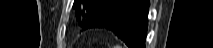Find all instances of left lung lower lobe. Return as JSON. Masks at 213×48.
I'll return each instance as SVG.
<instances>
[{"instance_id": "0a47b994", "label": "left lung lower lobe", "mask_w": 213, "mask_h": 48, "mask_svg": "<svg viewBox=\"0 0 213 48\" xmlns=\"http://www.w3.org/2000/svg\"><path fill=\"white\" fill-rule=\"evenodd\" d=\"M148 0H112L99 9L83 26L107 28L129 48H145Z\"/></svg>"}]
</instances>
